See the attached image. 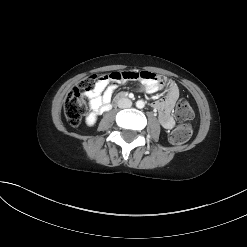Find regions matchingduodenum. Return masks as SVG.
Segmentation results:
<instances>
[{"instance_id":"obj_1","label":"duodenum","mask_w":247,"mask_h":247,"mask_svg":"<svg viewBox=\"0 0 247 247\" xmlns=\"http://www.w3.org/2000/svg\"><path fill=\"white\" fill-rule=\"evenodd\" d=\"M126 91H123V93H118V95L115 97V100H113V103H111V106L112 107H118V104H116L117 103V101L119 100V99H123V98H125L126 97ZM108 111V110H107Z\"/></svg>"}]
</instances>
